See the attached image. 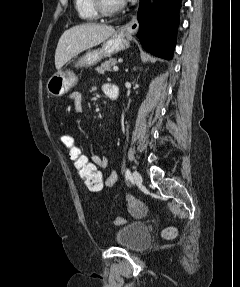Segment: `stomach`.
Masks as SVG:
<instances>
[{"mask_svg": "<svg viewBox=\"0 0 240 287\" xmlns=\"http://www.w3.org/2000/svg\"><path fill=\"white\" fill-rule=\"evenodd\" d=\"M129 45L130 36L124 32L117 31L103 43L100 49L86 53L76 64V67L94 65L103 57H109L118 51L127 49ZM77 80V76L70 69L65 71L59 70L50 77L46 88L50 95L60 97L76 84Z\"/></svg>", "mask_w": 240, "mask_h": 287, "instance_id": "0dacf381", "label": "stomach"}]
</instances>
